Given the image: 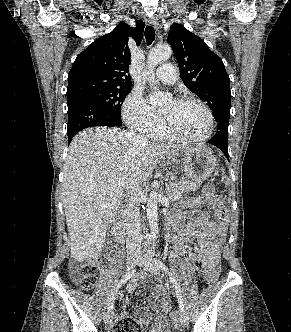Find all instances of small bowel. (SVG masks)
<instances>
[{"label": "small bowel", "mask_w": 291, "mask_h": 332, "mask_svg": "<svg viewBox=\"0 0 291 332\" xmlns=\"http://www.w3.org/2000/svg\"><path fill=\"white\" fill-rule=\"evenodd\" d=\"M224 238L225 229L216 227L208 214L202 213L188 225H179L178 232L174 237L172 252L174 255L188 259L198 271L205 272L207 267L219 261ZM195 242L198 244V249L197 252H192L191 244ZM136 282L137 279L130 283V291L134 289ZM150 306L156 313L157 319L146 332H168L173 319L166 315L171 310V304L167 300L162 286L157 285L156 293L151 295ZM136 316L141 325H147L151 320V313L145 307H138Z\"/></svg>", "instance_id": "small-bowel-1"}]
</instances>
